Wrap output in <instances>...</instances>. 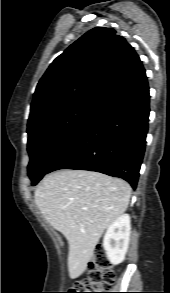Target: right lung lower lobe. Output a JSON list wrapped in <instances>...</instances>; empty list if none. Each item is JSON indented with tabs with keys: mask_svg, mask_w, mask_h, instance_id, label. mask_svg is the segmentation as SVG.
<instances>
[{
	"mask_svg": "<svg viewBox=\"0 0 170 293\" xmlns=\"http://www.w3.org/2000/svg\"><path fill=\"white\" fill-rule=\"evenodd\" d=\"M147 78L114 97L87 130L51 165L49 172L76 169L128 181L135 189L143 160L149 117Z\"/></svg>",
	"mask_w": 170,
	"mask_h": 293,
	"instance_id": "1",
	"label": "right lung lower lobe"
}]
</instances>
